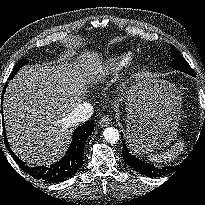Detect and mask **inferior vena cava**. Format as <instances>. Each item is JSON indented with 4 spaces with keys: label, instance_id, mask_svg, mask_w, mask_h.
Masks as SVG:
<instances>
[{
    "label": "inferior vena cava",
    "instance_id": "obj_1",
    "mask_svg": "<svg viewBox=\"0 0 205 205\" xmlns=\"http://www.w3.org/2000/svg\"><path fill=\"white\" fill-rule=\"evenodd\" d=\"M93 114V106L84 102L77 105L67 117V121L70 125L75 123L86 122Z\"/></svg>",
    "mask_w": 205,
    "mask_h": 205
}]
</instances>
